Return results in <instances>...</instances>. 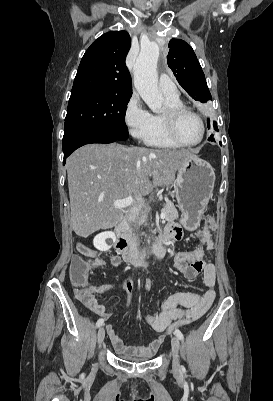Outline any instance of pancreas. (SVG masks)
I'll list each match as a JSON object with an SVG mask.
<instances>
[{
    "mask_svg": "<svg viewBox=\"0 0 273 401\" xmlns=\"http://www.w3.org/2000/svg\"><path fill=\"white\" fill-rule=\"evenodd\" d=\"M163 213H165V221H168V223H174L175 219L179 217L178 211L171 201L165 203Z\"/></svg>",
    "mask_w": 273,
    "mask_h": 401,
    "instance_id": "obj_1",
    "label": "pancreas"
}]
</instances>
